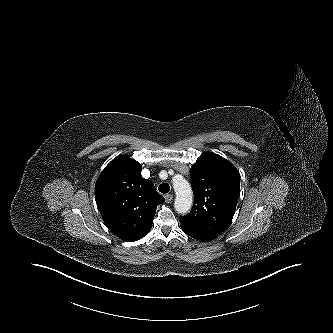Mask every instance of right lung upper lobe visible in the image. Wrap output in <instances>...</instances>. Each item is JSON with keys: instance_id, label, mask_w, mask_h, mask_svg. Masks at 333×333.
I'll return each mask as SVG.
<instances>
[{"instance_id": "1", "label": "right lung upper lobe", "mask_w": 333, "mask_h": 333, "mask_svg": "<svg viewBox=\"0 0 333 333\" xmlns=\"http://www.w3.org/2000/svg\"><path fill=\"white\" fill-rule=\"evenodd\" d=\"M142 165L127 157L112 160L95 185V200L106 226L124 241H136L151 229L156 207L165 201L141 176Z\"/></svg>"}]
</instances>
